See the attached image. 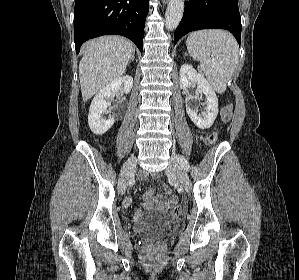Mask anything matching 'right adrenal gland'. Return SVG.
<instances>
[{
  "label": "right adrenal gland",
  "mask_w": 299,
  "mask_h": 280,
  "mask_svg": "<svg viewBox=\"0 0 299 280\" xmlns=\"http://www.w3.org/2000/svg\"><path fill=\"white\" fill-rule=\"evenodd\" d=\"M134 59H135V56H134V52H133V54H132L131 59H130L129 62L133 61Z\"/></svg>",
  "instance_id": "2a0ac1e0"
}]
</instances>
